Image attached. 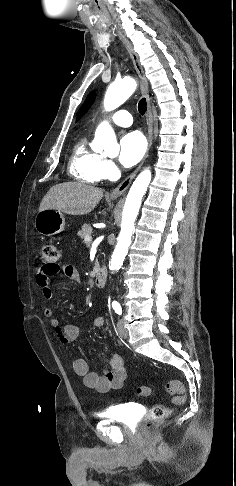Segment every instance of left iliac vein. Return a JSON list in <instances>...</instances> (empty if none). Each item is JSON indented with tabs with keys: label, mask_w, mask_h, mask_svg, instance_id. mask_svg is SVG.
I'll return each mask as SVG.
<instances>
[{
	"label": "left iliac vein",
	"mask_w": 236,
	"mask_h": 486,
	"mask_svg": "<svg viewBox=\"0 0 236 486\" xmlns=\"http://www.w3.org/2000/svg\"><path fill=\"white\" fill-rule=\"evenodd\" d=\"M117 332H118V334H119L120 337H122L124 339L127 338L128 331H127V329L124 326L123 320H119L118 321V323H117Z\"/></svg>",
	"instance_id": "4c4485c4"
}]
</instances>
